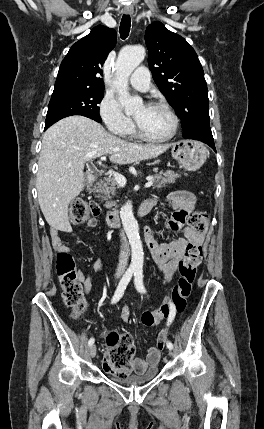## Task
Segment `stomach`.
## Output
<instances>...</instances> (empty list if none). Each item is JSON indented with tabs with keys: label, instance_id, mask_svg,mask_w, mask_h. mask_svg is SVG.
Listing matches in <instances>:
<instances>
[{
	"label": "stomach",
	"instance_id": "obj_1",
	"mask_svg": "<svg viewBox=\"0 0 264 429\" xmlns=\"http://www.w3.org/2000/svg\"><path fill=\"white\" fill-rule=\"evenodd\" d=\"M171 154L185 170L195 171L204 164L208 151L201 142L184 140L172 145Z\"/></svg>",
	"mask_w": 264,
	"mask_h": 429
}]
</instances>
